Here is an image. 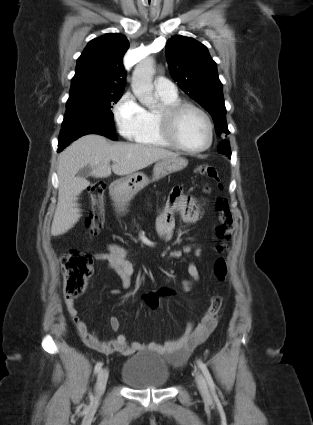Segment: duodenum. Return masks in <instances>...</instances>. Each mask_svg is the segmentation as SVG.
Returning <instances> with one entry per match:
<instances>
[{
	"instance_id": "duodenum-1",
	"label": "duodenum",
	"mask_w": 313,
	"mask_h": 425,
	"mask_svg": "<svg viewBox=\"0 0 313 425\" xmlns=\"http://www.w3.org/2000/svg\"><path fill=\"white\" fill-rule=\"evenodd\" d=\"M116 189H117V186L116 185H113L112 192L115 193Z\"/></svg>"
}]
</instances>
